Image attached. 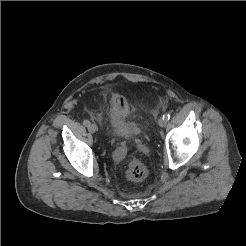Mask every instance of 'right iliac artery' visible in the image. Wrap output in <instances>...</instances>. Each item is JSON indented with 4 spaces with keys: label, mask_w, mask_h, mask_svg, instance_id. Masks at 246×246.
<instances>
[{
    "label": "right iliac artery",
    "mask_w": 246,
    "mask_h": 246,
    "mask_svg": "<svg viewBox=\"0 0 246 246\" xmlns=\"http://www.w3.org/2000/svg\"><path fill=\"white\" fill-rule=\"evenodd\" d=\"M83 125H85L86 127H88L90 125V122L88 120H84L83 121Z\"/></svg>",
    "instance_id": "82829eb1"
}]
</instances>
